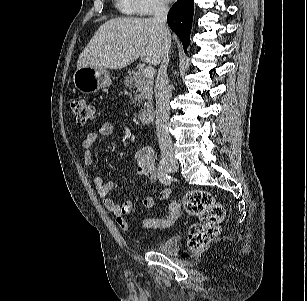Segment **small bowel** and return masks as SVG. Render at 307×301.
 Wrapping results in <instances>:
<instances>
[{
	"instance_id": "small-bowel-1",
	"label": "small bowel",
	"mask_w": 307,
	"mask_h": 301,
	"mask_svg": "<svg viewBox=\"0 0 307 301\" xmlns=\"http://www.w3.org/2000/svg\"><path fill=\"white\" fill-rule=\"evenodd\" d=\"M113 133V125L110 122L100 123L97 131L89 132L81 142V147L83 149V160L86 166L89 167L88 175L89 178L103 199V203L106 209L112 213L118 226L123 231L130 230V224L126 219V215L132 213L134 208V199H127L124 203L118 204L110 197V192L113 187V183L105 182L102 177L93 170V154L92 148L99 137H108ZM134 162L136 164L137 173L140 176L146 177L149 180L158 179V169L156 167L154 153L150 147L140 148L134 155ZM172 196L170 188L165 187L160 191L159 197L162 200H169ZM143 205L148 210H153L155 206V197L147 196L143 200Z\"/></svg>"
}]
</instances>
